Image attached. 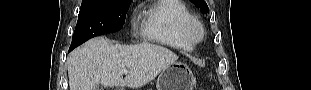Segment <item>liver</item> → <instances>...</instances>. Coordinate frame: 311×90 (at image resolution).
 I'll list each match as a JSON object with an SVG mask.
<instances>
[{
    "label": "liver",
    "mask_w": 311,
    "mask_h": 90,
    "mask_svg": "<svg viewBox=\"0 0 311 90\" xmlns=\"http://www.w3.org/2000/svg\"><path fill=\"white\" fill-rule=\"evenodd\" d=\"M177 59L175 53L160 45H114L104 38H94L68 56L69 88L96 90L100 84L105 87L139 88ZM123 69L129 71L124 79Z\"/></svg>",
    "instance_id": "6515ba94"
}]
</instances>
